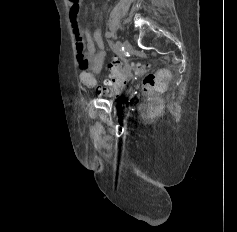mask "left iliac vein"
Instances as JSON below:
<instances>
[{
	"label": "left iliac vein",
	"mask_w": 237,
	"mask_h": 232,
	"mask_svg": "<svg viewBox=\"0 0 237 232\" xmlns=\"http://www.w3.org/2000/svg\"><path fill=\"white\" fill-rule=\"evenodd\" d=\"M122 45L126 51H130L132 49V46L128 41H124Z\"/></svg>",
	"instance_id": "1"
}]
</instances>
